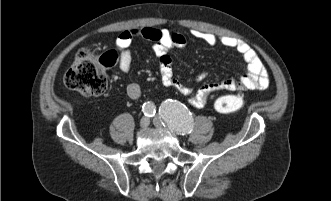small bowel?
<instances>
[{"instance_id":"c3829d8e","label":"small bowel","mask_w":331,"mask_h":201,"mask_svg":"<svg viewBox=\"0 0 331 201\" xmlns=\"http://www.w3.org/2000/svg\"><path fill=\"white\" fill-rule=\"evenodd\" d=\"M192 35L210 46L222 45L236 50L246 63L245 74L239 78H226L219 82L208 83L200 87L195 93L189 86L179 81L172 68V60L167 52L174 48H183L187 44L186 38L176 32L167 29L152 27L134 28L125 30L119 34L115 45L119 60V68L127 73L131 68V45L137 38H142L154 43V51L159 58L161 81L165 86L175 88L179 93L190 96L189 102L194 107H202L209 96L216 91H235L240 89L264 90L269 86V74L256 52L244 41L230 37L217 36L212 33L194 30ZM205 75L197 77L202 81ZM126 93L131 99H138L142 94L140 85L130 82L126 87Z\"/></svg>"}]
</instances>
